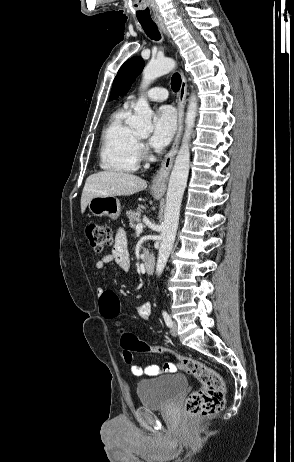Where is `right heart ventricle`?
Instances as JSON below:
<instances>
[{
  "label": "right heart ventricle",
  "mask_w": 294,
  "mask_h": 462,
  "mask_svg": "<svg viewBox=\"0 0 294 462\" xmlns=\"http://www.w3.org/2000/svg\"><path fill=\"white\" fill-rule=\"evenodd\" d=\"M128 115L127 106L117 110L102 132L99 162L105 171L130 173L138 169L139 141L126 122Z\"/></svg>",
  "instance_id": "obj_1"
}]
</instances>
